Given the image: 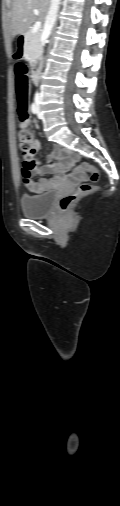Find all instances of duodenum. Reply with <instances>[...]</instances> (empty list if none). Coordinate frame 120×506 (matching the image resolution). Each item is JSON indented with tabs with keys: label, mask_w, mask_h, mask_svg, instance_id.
<instances>
[{
	"label": "duodenum",
	"mask_w": 120,
	"mask_h": 506,
	"mask_svg": "<svg viewBox=\"0 0 120 506\" xmlns=\"http://www.w3.org/2000/svg\"><path fill=\"white\" fill-rule=\"evenodd\" d=\"M19 45L15 47V57L16 58H24L26 56V46L24 45V35L19 36ZM40 75V65L38 62H35L32 66L31 77L33 81H37Z\"/></svg>",
	"instance_id": "1"
}]
</instances>
